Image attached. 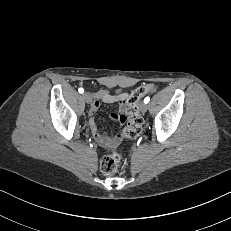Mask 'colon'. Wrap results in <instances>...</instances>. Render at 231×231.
Returning a JSON list of instances; mask_svg holds the SVG:
<instances>
[{
  "label": "colon",
  "mask_w": 231,
  "mask_h": 231,
  "mask_svg": "<svg viewBox=\"0 0 231 231\" xmlns=\"http://www.w3.org/2000/svg\"><path fill=\"white\" fill-rule=\"evenodd\" d=\"M154 90L153 84H146L136 88L128 97L123 119L126 122V127L122 132V136L128 139H134L139 136L142 130L143 119L139 112V102L143 96ZM121 163L120 154L112 152L103 157L100 163L101 171L106 175H112L117 170ZM126 162H123V168L126 167Z\"/></svg>",
  "instance_id": "5ec220e1"
}]
</instances>
